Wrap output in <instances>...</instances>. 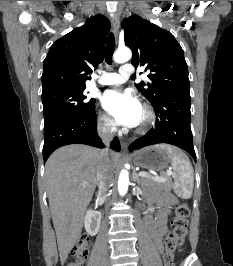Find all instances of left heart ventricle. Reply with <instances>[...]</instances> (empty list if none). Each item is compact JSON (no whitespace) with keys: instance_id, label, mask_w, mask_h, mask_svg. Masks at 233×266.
Returning a JSON list of instances; mask_svg holds the SVG:
<instances>
[{"instance_id":"1","label":"left heart ventricle","mask_w":233,"mask_h":266,"mask_svg":"<svg viewBox=\"0 0 233 266\" xmlns=\"http://www.w3.org/2000/svg\"><path fill=\"white\" fill-rule=\"evenodd\" d=\"M144 118H145V115H144V111H143V109H142V110H141V114H140V119H139V123H138V125L141 124V123L144 121Z\"/></svg>"}]
</instances>
